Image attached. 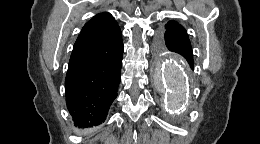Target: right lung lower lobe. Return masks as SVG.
Here are the masks:
<instances>
[{"label":"right lung lower lobe","mask_w":260,"mask_h":144,"mask_svg":"<svg viewBox=\"0 0 260 144\" xmlns=\"http://www.w3.org/2000/svg\"><path fill=\"white\" fill-rule=\"evenodd\" d=\"M123 41L113 40L74 48L65 79L66 103L76 126L105 121L121 80Z\"/></svg>","instance_id":"obj_1"}]
</instances>
